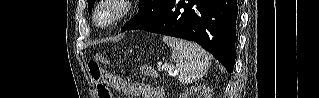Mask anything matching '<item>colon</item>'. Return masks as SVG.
<instances>
[{
    "instance_id": "obj_1",
    "label": "colon",
    "mask_w": 319,
    "mask_h": 98,
    "mask_svg": "<svg viewBox=\"0 0 319 98\" xmlns=\"http://www.w3.org/2000/svg\"><path fill=\"white\" fill-rule=\"evenodd\" d=\"M106 59L103 56H99L97 61H92L89 63V73L91 78L97 85L98 97L99 98H111V93L106 86V75L104 69L102 68V63H105ZM141 72L149 77H155L156 73L150 65H142L140 67Z\"/></svg>"
}]
</instances>
